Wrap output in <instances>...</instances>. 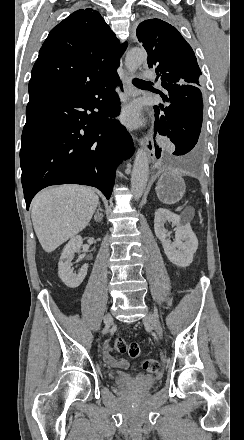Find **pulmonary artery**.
Masks as SVG:
<instances>
[{
  "label": "pulmonary artery",
  "mask_w": 244,
  "mask_h": 440,
  "mask_svg": "<svg viewBox=\"0 0 244 440\" xmlns=\"http://www.w3.org/2000/svg\"><path fill=\"white\" fill-rule=\"evenodd\" d=\"M142 75H143V77L148 78V77H150L151 72H150V70L145 69V70H143Z\"/></svg>",
  "instance_id": "e3ab8cb5"
}]
</instances>
